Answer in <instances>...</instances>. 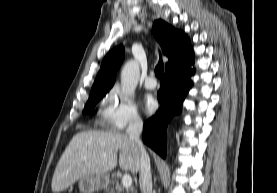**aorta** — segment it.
<instances>
[{
	"instance_id": "aorta-1",
	"label": "aorta",
	"mask_w": 277,
	"mask_h": 193,
	"mask_svg": "<svg viewBox=\"0 0 277 193\" xmlns=\"http://www.w3.org/2000/svg\"><path fill=\"white\" fill-rule=\"evenodd\" d=\"M140 79V67L137 61H128L121 71V89L126 95H133Z\"/></svg>"
}]
</instances>
